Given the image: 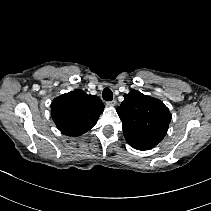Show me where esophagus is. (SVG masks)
<instances>
[{
    "label": "esophagus",
    "instance_id": "34e87169",
    "mask_svg": "<svg viewBox=\"0 0 211 211\" xmlns=\"http://www.w3.org/2000/svg\"><path fill=\"white\" fill-rule=\"evenodd\" d=\"M117 104L116 100L108 101L107 105L110 107H114Z\"/></svg>",
    "mask_w": 211,
    "mask_h": 211
}]
</instances>
